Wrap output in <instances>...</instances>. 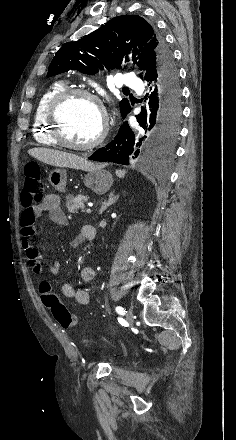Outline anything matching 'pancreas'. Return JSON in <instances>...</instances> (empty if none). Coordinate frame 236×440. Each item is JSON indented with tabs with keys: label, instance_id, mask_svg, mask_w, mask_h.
I'll return each instance as SVG.
<instances>
[{
	"label": "pancreas",
	"instance_id": "1",
	"mask_svg": "<svg viewBox=\"0 0 236 440\" xmlns=\"http://www.w3.org/2000/svg\"><path fill=\"white\" fill-rule=\"evenodd\" d=\"M88 200L86 195H77L74 197L73 195H68L66 197V207L70 213H78V210L84 211L85 202Z\"/></svg>",
	"mask_w": 236,
	"mask_h": 440
}]
</instances>
